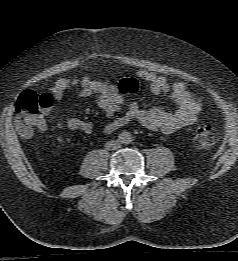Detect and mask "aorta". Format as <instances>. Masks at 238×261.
I'll return each mask as SVG.
<instances>
[{"mask_svg": "<svg viewBox=\"0 0 238 261\" xmlns=\"http://www.w3.org/2000/svg\"><path fill=\"white\" fill-rule=\"evenodd\" d=\"M132 138L133 137H132L131 133H129V132H123L122 135H121V139H122V142L124 144L131 143L132 142Z\"/></svg>", "mask_w": 238, "mask_h": 261, "instance_id": "1", "label": "aorta"}]
</instances>
